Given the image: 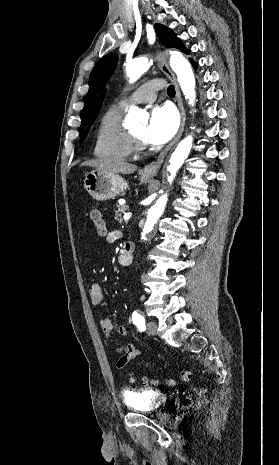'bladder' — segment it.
Returning <instances> with one entry per match:
<instances>
[{"instance_id":"31cf9c89","label":"bladder","mask_w":279,"mask_h":465,"mask_svg":"<svg viewBox=\"0 0 279 465\" xmlns=\"http://www.w3.org/2000/svg\"><path fill=\"white\" fill-rule=\"evenodd\" d=\"M125 404L133 412L151 413L158 411L167 403V396L146 390H127L124 394Z\"/></svg>"}]
</instances>
